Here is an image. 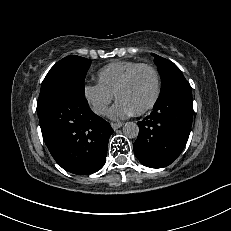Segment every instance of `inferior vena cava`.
Here are the masks:
<instances>
[{"label": "inferior vena cava", "instance_id": "602c4592", "mask_svg": "<svg viewBox=\"0 0 231 231\" xmlns=\"http://www.w3.org/2000/svg\"><path fill=\"white\" fill-rule=\"evenodd\" d=\"M93 111L96 114H104L106 112V107L104 105L93 106Z\"/></svg>", "mask_w": 231, "mask_h": 231}]
</instances>
